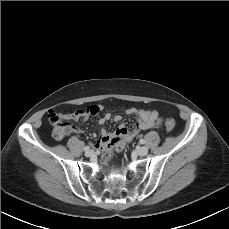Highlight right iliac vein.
Returning a JSON list of instances; mask_svg holds the SVG:
<instances>
[{
    "label": "right iliac vein",
    "mask_w": 229,
    "mask_h": 229,
    "mask_svg": "<svg viewBox=\"0 0 229 229\" xmlns=\"http://www.w3.org/2000/svg\"><path fill=\"white\" fill-rule=\"evenodd\" d=\"M93 154H94V152L92 150H88L85 152L86 157H91Z\"/></svg>",
    "instance_id": "right-iliac-vein-1"
}]
</instances>
